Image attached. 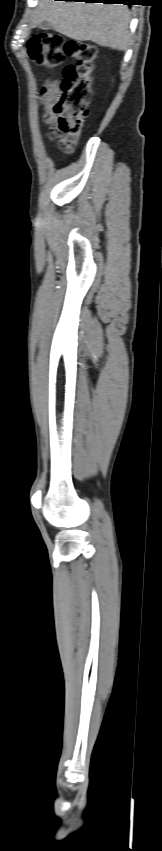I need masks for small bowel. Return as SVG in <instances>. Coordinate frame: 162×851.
Listing matches in <instances>:
<instances>
[{"label": "small bowel", "mask_w": 162, "mask_h": 851, "mask_svg": "<svg viewBox=\"0 0 162 851\" xmlns=\"http://www.w3.org/2000/svg\"><path fill=\"white\" fill-rule=\"evenodd\" d=\"M61 94L60 83L58 80L45 81L39 91L40 101L43 105V119L51 126L49 137L51 140H58V145L64 153H71L74 150L75 144L64 134H62L56 124V116L54 106Z\"/></svg>", "instance_id": "obj_1"}]
</instances>
